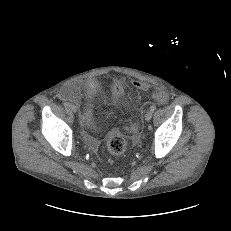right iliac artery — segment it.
<instances>
[{
    "mask_svg": "<svg viewBox=\"0 0 231 231\" xmlns=\"http://www.w3.org/2000/svg\"><path fill=\"white\" fill-rule=\"evenodd\" d=\"M64 106H65V107H68V106H69V103L65 102V103H64Z\"/></svg>",
    "mask_w": 231,
    "mask_h": 231,
    "instance_id": "right-iliac-artery-1",
    "label": "right iliac artery"
}]
</instances>
